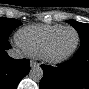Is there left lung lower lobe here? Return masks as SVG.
<instances>
[{"instance_id": "left-lung-lower-lobe-1", "label": "left lung lower lobe", "mask_w": 89, "mask_h": 89, "mask_svg": "<svg viewBox=\"0 0 89 89\" xmlns=\"http://www.w3.org/2000/svg\"><path fill=\"white\" fill-rule=\"evenodd\" d=\"M44 76L40 89H89V40L67 62L57 67L42 65Z\"/></svg>"}]
</instances>
